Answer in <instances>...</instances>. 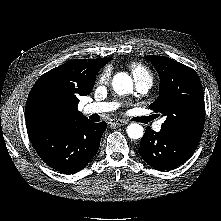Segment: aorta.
<instances>
[{
    "label": "aorta",
    "instance_id": "obj_1",
    "mask_svg": "<svg viewBox=\"0 0 221 221\" xmlns=\"http://www.w3.org/2000/svg\"><path fill=\"white\" fill-rule=\"evenodd\" d=\"M112 85L114 91L119 95L130 93L133 89L131 77L127 73L123 72H120L114 76ZM126 131L131 139H140L144 133L143 127L137 123L128 125Z\"/></svg>",
    "mask_w": 221,
    "mask_h": 221
}]
</instances>
